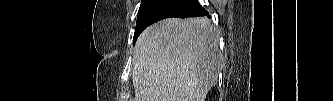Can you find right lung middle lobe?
Instances as JSON below:
<instances>
[{
  "mask_svg": "<svg viewBox=\"0 0 333 101\" xmlns=\"http://www.w3.org/2000/svg\"><path fill=\"white\" fill-rule=\"evenodd\" d=\"M145 2H147V0H142L141 5L144 4ZM141 5H140V6H141Z\"/></svg>",
  "mask_w": 333,
  "mask_h": 101,
  "instance_id": "dd1d6c3e",
  "label": "right lung middle lobe"
}]
</instances>
